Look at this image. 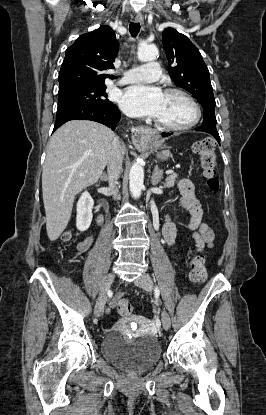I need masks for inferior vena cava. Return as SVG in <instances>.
<instances>
[{
  "label": "inferior vena cava",
  "instance_id": "inferior-vena-cava-1",
  "mask_svg": "<svg viewBox=\"0 0 266 415\" xmlns=\"http://www.w3.org/2000/svg\"><path fill=\"white\" fill-rule=\"evenodd\" d=\"M124 149L117 138L114 139V146L111 156L107 163L109 188L112 190L114 197H117L118 189L115 182L119 178L122 170Z\"/></svg>",
  "mask_w": 266,
  "mask_h": 415
}]
</instances>
